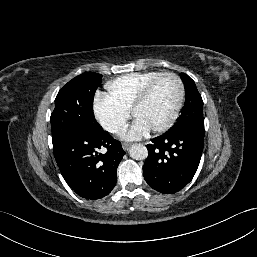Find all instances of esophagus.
I'll list each match as a JSON object with an SVG mask.
<instances>
[{"mask_svg":"<svg viewBox=\"0 0 257 257\" xmlns=\"http://www.w3.org/2000/svg\"><path fill=\"white\" fill-rule=\"evenodd\" d=\"M129 146H130L129 143H123V144H122V147H123V149H124L125 151H127V150L129 149Z\"/></svg>","mask_w":257,"mask_h":257,"instance_id":"1","label":"esophagus"}]
</instances>
